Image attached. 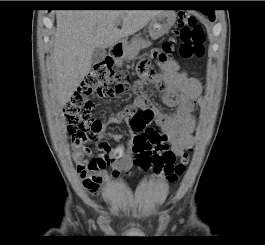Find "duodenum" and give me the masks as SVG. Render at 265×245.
<instances>
[{
	"label": "duodenum",
	"instance_id": "duodenum-1",
	"mask_svg": "<svg viewBox=\"0 0 265 245\" xmlns=\"http://www.w3.org/2000/svg\"><path fill=\"white\" fill-rule=\"evenodd\" d=\"M110 54L112 57H114L116 59L123 58V43H122V41H117L110 47Z\"/></svg>",
	"mask_w": 265,
	"mask_h": 245
}]
</instances>
